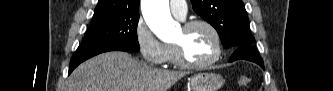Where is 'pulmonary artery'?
Returning <instances> with one entry per match:
<instances>
[{"label": "pulmonary artery", "mask_w": 333, "mask_h": 91, "mask_svg": "<svg viewBox=\"0 0 333 91\" xmlns=\"http://www.w3.org/2000/svg\"><path fill=\"white\" fill-rule=\"evenodd\" d=\"M170 11L178 19H185L187 15V5L185 1H170Z\"/></svg>", "instance_id": "pulmonary-artery-1"}]
</instances>
